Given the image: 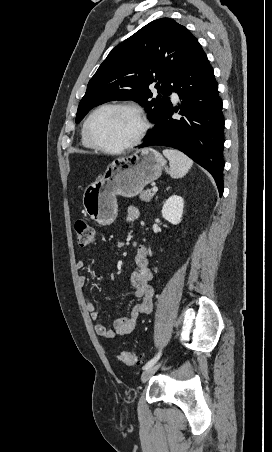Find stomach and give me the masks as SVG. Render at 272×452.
I'll use <instances>...</instances> for the list:
<instances>
[{
	"label": "stomach",
	"instance_id": "0dacf381",
	"mask_svg": "<svg viewBox=\"0 0 272 452\" xmlns=\"http://www.w3.org/2000/svg\"><path fill=\"white\" fill-rule=\"evenodd\" d=\"M166 165L153 148L137 150L130 156L115 159L99 180L86 187L83 194L85 212L98 224H112L118 213L117 196L131 198L157 180Z\"/></svg>",
	"mask_w": 272,
	"mask_h": 452
}]
</instances>
